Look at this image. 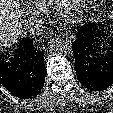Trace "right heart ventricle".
<instances>
[{
	"mask_svg": "<svg viewBox=\"0 0 113 113\" xmlns=\"http://www.w3.org/2000/svg\"><path fill=\"white\" fill-rule=\"evenodd\" d=\"M59 0H25L27 5L37 13H49Z\"/></svg>",
	"mask_w": 113,
	"mask_h": 113,
	"instance_id": "1",
	"label": "right heart ventricle"
}]
</instances>
